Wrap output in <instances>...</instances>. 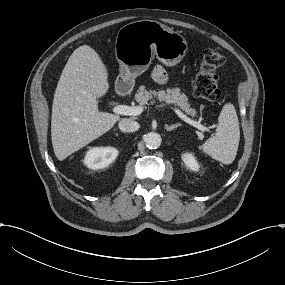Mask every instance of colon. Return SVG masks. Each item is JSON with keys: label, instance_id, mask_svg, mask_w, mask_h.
Returning <instances> with one entry per match:
<instances>
[{"label": "colon", "instance_id": "5ec220e1", "mask_svg": "<svg viewBox=\"0 0 285 285\" xmlns=\"http://www.w3.org/2000/svg\"><path fill=\"white\" fill-rule=\"evenodd\" d=\"M225 61V56L217 49L209 48L203 52L198 72L193 80V92L196 97L209 102H215L220 98L216 71Z\"/></svg>", "mask_w": 285, "mask_h": 285}]
</instances>
